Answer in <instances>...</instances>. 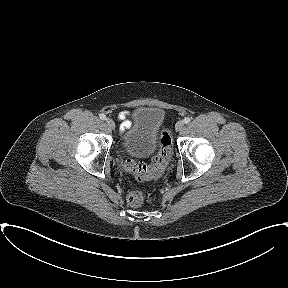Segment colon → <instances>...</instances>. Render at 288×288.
Masks as SVG:
<instances>
[{
	"label": "colon",
	"instance_id": "5ec220e1",
	"mask_svg": "<svg viewBox=\"0 0 288 288\" xmlns=\"http://www.w3.org/2000/svg\"><path fill=\"white\" fill-rule=\"evenodd\" d=\"M171 138L167 132H163L161 135L160 150L154 157L151 164H145L142 162H135L128 159L125 162L126 171L132 173L139 181H149L162 172L166 166L170 156ZM145 201L144 195L139 191H131L127 195V202L130 206L138 207Z\"/></svg>",
	"mask_w": 288,
	"mask_h": 288
}]
</instances>
